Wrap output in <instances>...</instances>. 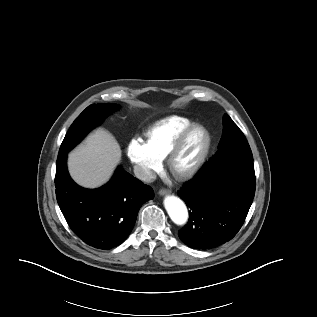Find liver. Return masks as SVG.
Masks as SVG:
<instances>
[{"instance_id": "liver-1", "label": "liver", "mask_w": 317, "mask_h": 317, "mask_svg": "<svg viewBox=\"0 0 317 317\" xmlns=\"http://www.w3.org/2000/svg\"><path fill=\"white\" fill-rule=\"evenodd\" d=\"M120 160L121 150L114 136L98 129L69 153L68 169L79 185L97 188L109 180Z\"/></svg>"}]
</instances>
